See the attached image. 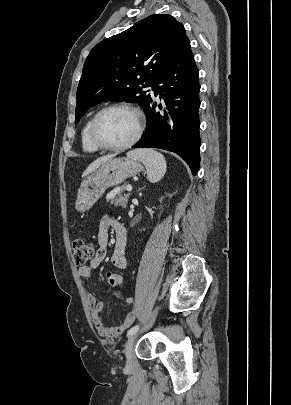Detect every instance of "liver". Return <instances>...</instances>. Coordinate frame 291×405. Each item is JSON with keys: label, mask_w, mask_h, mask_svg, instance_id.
<instances>
[{"label": "liver", "mask_w": 291, "mask_h": 405, "mask_svg": "<svg viewBox=\"0 0 291 405\" xmlns=\"http://www.w3.org/2000/svg\"><path fill=\"white\" fill-rule=\"evenodd\" d=\"M113 158V155H108V156H103L101 158H98L96 161L92 162L88 168L84 171L83 173V177L89 175L90 173H92L93 171H95L97 168L100 167V165H102L104 162L110 160Z\"/></svg>", "instance_id": "6515ba94"}]
</instances>
